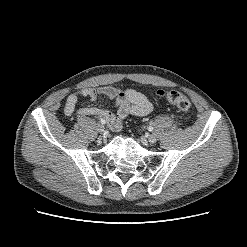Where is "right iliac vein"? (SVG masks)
Masks as SVG:
<instances>
[{
	"mask_svg": "<svg viewBox=\"0 0 247 247\" xmlns=\"http://www.w3.org/2000/svg\"><path fill=\"white\" fill-rule=\"evenodd\" d=\"M104 129L105 128H104V126L102 124H97V130H98L99 133L102 134L104 132Z\"/></svg>",
	"mask_w": 247,
	"mask_h": 247,
	"instance_id": "right-iliac-vein-1",
	"label": "right iliac vein"
}]
</instances>
